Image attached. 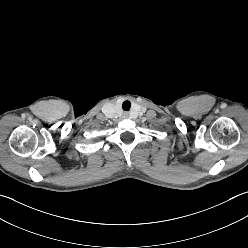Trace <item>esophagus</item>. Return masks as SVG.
<instances>
[{
	"mask_svg": "<svg viewBox=\"0 0 248 248\" xmlns=\"http://www.w3.org/2000/svg\"><path fill=\"white\" fill-rule=\"evenodd\" d=\"M128 116H129V114H128V113H125V114H124V117H126V118H127Z\"/></svg>",
	"mask_w": 248,
	"mask_h": 248,
	"instance_id": "34e87169",
	"label": "esophagus"
}]
</instances>
